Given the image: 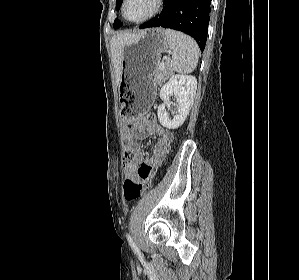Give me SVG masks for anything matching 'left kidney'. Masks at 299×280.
<instances>
[{
	"instance_id": "5707ae66",
	"label": "left kidney",
	"mask_w": 299,
	"mask_h": 280,
	"mask_svg": "<svg viewBox=\"0 0 299 280\" xmlns=\"http://www.w3.org/2000/svg\"><path fill=\"white\" fill-rule=\"evenodd\" d=\"M197 89V80L191 75H173L169 81L161 88L160 98L163 103L158 107V119L162 126L168 129H177L188 116ZM175 95L177 103V113L170 119L166 112V104L169 96Z\"/></svg>"
}]
</instances>
